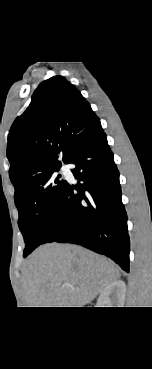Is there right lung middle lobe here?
Instances as JSON below:
<instances>
[{
    "instance_id": "obj_1",
    "label": "right lung middle lobe",
    "mask_w": 152,
    "mask_h": 369,
    "mask_svg": "<svg viewBox=\"0 0 152 369\" xmlns=\"http://www.w3.org/2000/svg\"><path fill=\"white\" fill-rule=\"evenodd\" d=\"M60 166L38 175L28 187L14 197L19 211V228L24 236V257L43 244L52 227L67 181L56 175Z\"/></svg>"
}]
</instances>
